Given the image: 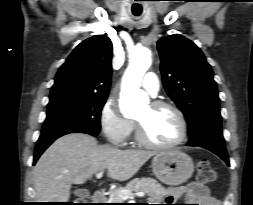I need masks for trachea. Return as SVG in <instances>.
<instances>
[{
	"label": "trachea",
	"mask_w": 253,
	"mask_h": 205,
	"mask_svg": "<svg viewBox=\"0 0 253 205\" xmlns=\"http://www.w3.org/2000/svg\"><path fill=\"white\" fill-rule=\"evenodd\" d=\"M134 15H135V16H139L140 14H136V13H134Z\"/></svg>",
	"instance_id": "1"
}]
</instances>
